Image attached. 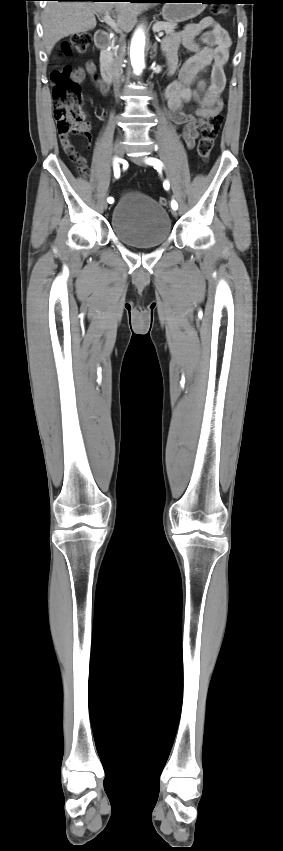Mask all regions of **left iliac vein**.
I'll return each instance as SVG.
<instances>
[{
    "label": "left iliac vein",
    "mask_w": 283,
    "mask_h": 851,
    "mask_svg": "<svg viewBox=\"0 0 283 851\" xmlns=\"http://www.w3.org/2000/svg\"><path fill=\"white\" fill-rule=\"evenodd\" d=\"M130 159H131V161H132V162H134V163H135V164H137V165H142V166H145V165H146L143 157H130ZM172 215H173L174 217H176V216H177V211L173 209V210H172Z\"/></svg>",
    "instance_id": "1"
}]
</instances>
